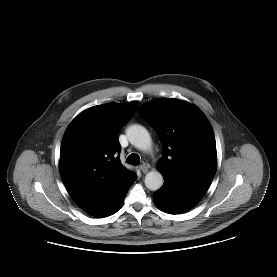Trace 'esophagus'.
Here are the masks:
<instances>
[{
  "label": "esophagus",
  "mask_w": 277,
  "mask_h": 277,
  "mask_svg": "<svg viewBox=\"0 0 277 277\" xmlns=\"http://www.w3.org/2000/svg\"><path fill=\"white\" fill-rule=\"evenodd\" d=\"M139 169L141 170L142 173L146 174L149 171V167L145 164L140 165Z\"/></svg>",
  "instance_id": "esophagus-1"
}]
</instances>
